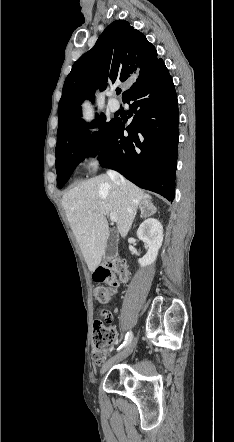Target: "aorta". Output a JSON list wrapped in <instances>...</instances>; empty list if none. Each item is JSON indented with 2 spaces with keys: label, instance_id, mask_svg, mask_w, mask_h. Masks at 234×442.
Returning <instances> with one entry per match:
<instances>
[{
  "label": "aorta",
  "instance_id": "aorta-1",
  "mask_svg": "<svg viewBox=\"0 0 234 442\" xmlns=\"http://www.w3.org/2000/svg\"><path fill=\"white\" fill-rule=\"evenodd\" d=\"M83 118L87 121H90L92 119V112L87 104L84 105Z\"/></svg>",
  "mask_w": 234,
  "mask_h": 442
}]
</instances>
